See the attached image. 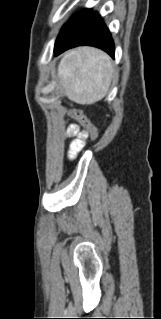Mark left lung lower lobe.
I'll use <instances>...</instances> for the list:
<instances>
[{
  "label": "left lung lower lobe",
  "mask_w": 161,
  "mask_h": 319,
  "mask_svg": "<svg viewBox=\"0 0 161 319\" xmlns=\"http://www.w3.org/2000/svg\"><path fill=\"white\" fill-rule=\"evenodd\" d=\"M81 45L100 48L114 58L115 48L111 33L97 12H90L67 35L56 41L55 55Z\"/></svg>",
  "instance_id": "0a47b994"
}]
</instances>
